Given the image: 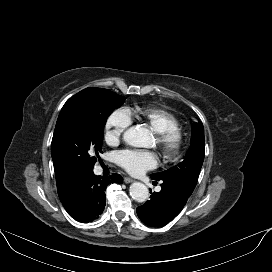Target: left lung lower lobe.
Returning a JSON list of instances; mask_svg holds the SVG:
<instances>
[{
  "label": "left lung lower lobe",
  "instance_id": "1",
  "mask_svg": "<svg viewBox=\"0 0 272 272\" xmlns=\"http://www.w3.org/2000/svg\"><path fill=\"white\" fill-rule=\"evenodd\" d=\"M160 186L162 187L160 192L152 193L150 200L137 208L140 220L152 227L169 223L182 210L193 192L181 184L168 180H161Z\"/></svg>",
  "mask_w": 272,
  "mask_h": 272
}]
</instances>
